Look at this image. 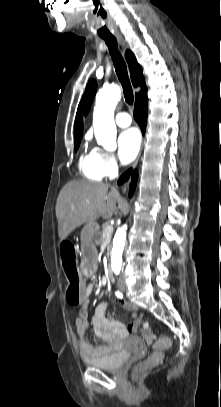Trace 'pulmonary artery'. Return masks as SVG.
Listing matches in <instances>:
<instances>
[{
    "instance_id": "1",
    "label": "pulmonary artery",
    "mask_w": 221,
    "mask_h": 407,
    "mask_svg": "<svg viewBox=\"0 0 221 407\" xmlns=\"http://www.w3.org/2000/svg\"><path fill=\"white\" fill-rule=\"evenodd\" d=\"M115 122L119 127H128L132 123V119L127 112H120L115 117Z\"/></svg>"
}]
</instances>
